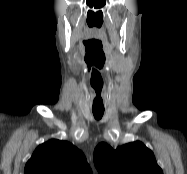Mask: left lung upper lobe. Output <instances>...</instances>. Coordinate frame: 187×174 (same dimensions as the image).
Returning a JSON list of instances; mask_svg holds the SVG:
<instances>
[{
	"mask_svg": "<svg viewBox=\"0 0 187 174\" xmlns=\"http://www.w3.org/2000/svg\"><path fill=\"white\" fill-rule=\"evenodd\" d=\"M99 174H163L153 152L142 142H132L114 150L105 143L94 151Z\"/></svg>",
	"mask_w": 187,
	"mask_h": 174,
	"instance_id": "1",
	"label": "left lung upper lobe"
}]
</instances>
